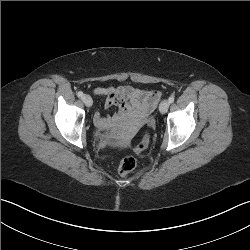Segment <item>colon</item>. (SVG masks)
<instances>
[{"instance_id": "5ec220e1", "label": "colon", "mask_w": 250, "mask_h": 250, "mask_svg": "<svg viewBox=\"0 0 250 250\" xmlns=\"http://www.w3.org/2000/svg\"><path fill=\"white\" fill-rule=\"evenodd\" d=\"M148 127L151 128L153 126V121H148L147 123ZM105 136V141H110V139L115 137V132L110 130L107 132ZM149 143V133L147 132L141 142L134 148V153L139 154L141 153L148 145ZM109 147V142H103V148H108ZM137 164V160L135 156L133 155H128L125 156L119 163L118 167V172L121 176H125L129 172H131Z\"/></svg>"}]
</instances>
